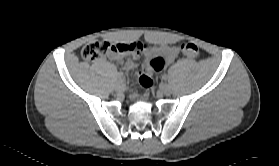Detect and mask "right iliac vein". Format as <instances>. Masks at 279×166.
<instances>
[{
  "label": "right iliac vein",
  "mask_w": 279,
  "mask_h": 166,
  "mask_svg": "<svg viewBox=\"0 0 279 166\" xmlns=\"http://www.w3.org/2000/svg\"><path fill=\"white\" fill-rule=\"evenodd\" d=\"M124 89H125V84H124L123 80H118L115 85V90L117 92H122V91H124Z\"/></svg>",
  "instance_id": "63e3f726"
}]
</instances>
